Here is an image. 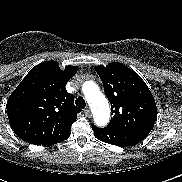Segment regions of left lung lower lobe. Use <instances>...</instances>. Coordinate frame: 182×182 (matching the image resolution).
<instances>
[{
    "mask_svg": "<svg viewBox=\"0 0 182 182\" xmlns=\"http://www.w3.org/2000/svg\"><path fill=\"white\" fill-rule=\"evenodd\" d=\"M92 130L94 132V136L98 140L121 147L136 145L144 139L143 137L132 133L114 130L107 127L98 128L95 125H92Z\"/></svg>",
    "mask_w": 182,
    "mask_h": 182,
    "instance_id": "obj_1",
    "label": "left lung lower lobe"
}]
</instances>
